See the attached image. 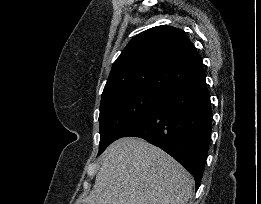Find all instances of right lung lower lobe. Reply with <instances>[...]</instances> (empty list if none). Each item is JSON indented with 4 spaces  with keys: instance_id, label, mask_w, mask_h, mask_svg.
<instances>
[{
    "instance_id": "1",
    "label": "right lung lower lobe",
    "mask_w": 261,
    "mask_h": 204,
    "mask_svg": "<svg viewBox=\"0 0 261 204\" xmlns=\"http://www.w3.org/2000/svg\"><path fill=\"white\" fill-rule=\"evenodd\" d=\"M212 109L203 67L170 88L121 137H139L176 159L200 186L211 135Z\"/></svg>"
}]
</instances>
